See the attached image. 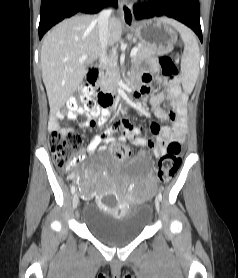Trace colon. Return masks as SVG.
<instances>
[{"instance_id": "colon-1", "label": "colon", "mask_w": 238, "mask_h": 278, "mask_svg": "<svg viewBox=\"0 0 238 278\" xmlns=\"http://www.w3.org/2000/svg\"><path fill=\"white\" fill-rule=\"evenodd\" d=\"M162 75L168 81H175L178 76V69L173 55L165 54L160 58ZM69 107L73 110H84L93 112L97 108L93 99V90L90 84L83 83L78 92L69 100ZM80 136L71 130H53L49 136V146L54 163L60 168L69 169L75 164V153L81 147ZM111 154L123 159L128 156V148L119 143L110 147ZM182 161V149L178 142H171L166 153L161 156L157 167V176L161 182L167 183L177 172Z\"/></svg>"}]
</instances>
